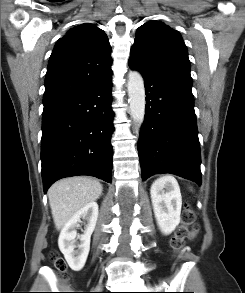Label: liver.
<instances>
[{"label": "liver", "instance_id": "6515ba94", "mask_svg": "<svg viewBox=\"0 0 245 293\" xmlns=\"http://www.w3.org/2000/svg\"><path fill=\"white\" fill-rule=\"evenodd\" d=\"M99 181L87 177H71L57 181L48 190L49 204L57 230L81 208L102 194Z\"/></svg>", "mask_w": 245, "mask_h": 293}]
</instances>
